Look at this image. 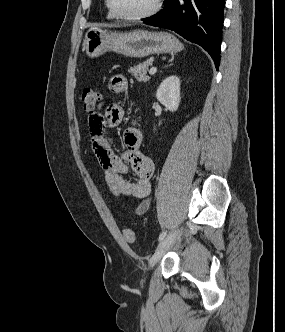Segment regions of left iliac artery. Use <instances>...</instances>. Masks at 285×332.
<instances>
[{
  "instance_id": "44dca946",
  "label": "left iliac artery",
  "mask_w": 285,
  "mask_h": 332,
  "mask_svg": "<svg viewBox=\"0 0 285 332\" xmlns=\"http://www.w3.org/2000/svg\"><path fill=\"white\" fill-rule=\"evenodd\" d=\"M166 234H167V232L166 231H163L160 235H159V241H162L164 238H165V236H166Z\"/></svg>"
}]
</instances>
